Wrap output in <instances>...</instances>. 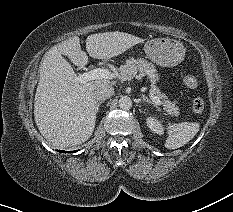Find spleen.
Masks as SVG:
<instances>
[{"label": "spleen", "instance_id": "3e777b00", "mask_svg": "<svg viewBox=\"0 0 233 212\" xmlns=\"http://www.w3.org/2000/svg\"><path fill=\"white\" fill-rule=\"evenodd\" d=\"M200 128L197 122H182L180 124H169L168 138L165 142L167 149H177L194 138Z\"/></svg>", "mask_w": 233, "mask_h": 212}]
</instances>
